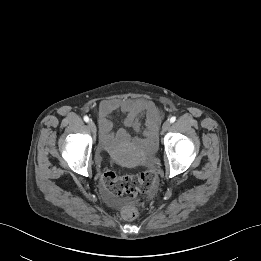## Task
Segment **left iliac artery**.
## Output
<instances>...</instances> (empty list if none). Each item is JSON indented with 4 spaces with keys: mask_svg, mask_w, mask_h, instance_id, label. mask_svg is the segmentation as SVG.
<instances>
[{
    "mask_svg": "<svg viewBox=\"0 0 261 261\" xmlns=\"http://www.w3.org/2000/svg\"><path fill=\"white\" fill-rule=\"evenodd\" d=\"M176 121V117L175 116H172L171 118H170V123H174Z\"/></svg>",
    "mask_w": 261,
    "mask_h": 261,
    "instance_id": "obj_1",
    "label": "left iliac artery"
}]
</instances>
